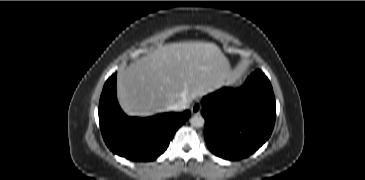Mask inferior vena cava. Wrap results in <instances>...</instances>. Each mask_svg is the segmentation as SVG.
<instances>
[{
    "mask_svg": "<svg viewBox=\"0 0 365 180\" xmlns=\"http://www.w3.org/2000/svg\"><path fill=\"white\" fill-rule=\"evenodd\" d=\"M188 107H189V105H188L187 101L186 100H181V101L173 104L172 106H169L168 110L181 111V110H184Z\"/></svg>",
    "mask_w": 365,
    "mask_h": 180,
    "instance_id": "1",
    "label": "inferior vena cava"
}]
</instances>
